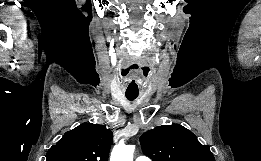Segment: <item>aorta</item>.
Listing matches in <instances>:
<instances>
[{
  "mask_svg": "<svg viewBox=\"0 0 261 161\" xmlns=\"http://www.w3.org/2000/svg\"><path fill=\"white\" fill-rule=\"evenodd\" d=\"M134 150V145L120 143L113 148L110 161H133Z\"/></svg>",
  "mask_w": 261,
  "mask_h": 161,
  "instance_id": "obj_1",
  "label": "aorta"
}]
</instances>
